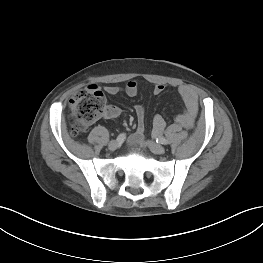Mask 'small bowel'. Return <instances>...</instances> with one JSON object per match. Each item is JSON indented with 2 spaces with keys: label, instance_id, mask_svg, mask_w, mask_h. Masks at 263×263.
Wrapping results in <instances>:
<instances>
[{
  "label": "small bowel",
  "instance_id": "small-bowel-1",
  "mask_svg": "<svg viewBox=\"0 0 263 263\" xmlns=\"http://www.w3.org/2000/svg\"><path fill=\"white\" fill-rule=\"evenodd\" d=\"M165 87L162 84H156L153 87V94L159 95L164 91ZM105 92L109 95H116L122 91L120 87L117 86H106L104 88ZM125 93L134 97L139 92L138 82L132 80L129 81L125 88ZM180 96L185 104V111L178 115L176 120L184 127H191L198 113V98L195 91L187 85H181L178 87ZM120 114V109L114 105H109L106 107L103 114L104 118L111 119L115 118ZM135 114L137 118V129L130 136L129 141L132 144H141L143 142V133L145 128V109L142 105L135 106ZM165 127V121L161 115H155L153 118V134H160Z\"/></svg>",
  "mask_w": 263,
  "mask_h": 263
}]
</instances>
